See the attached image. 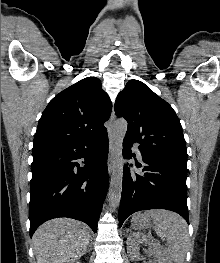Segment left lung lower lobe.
<instances>
[{"instance_id": "0a47b994", "label": "left lung lower lobe", "mask_w": 220, "mask_h": 263, "mask_svg": "<svg viewBox=\"0 0 220 263\" xmlns=\"http://www.w3.org/2000/svg\"><path fill=\"white\" fill-rule=\"evenodd\" d=\"M133 141L124 138L123 155L132 157ZM142 173L127 166L123 171V187L119 208V226L125 219L140 210L166 209L180 214L189 223L187 207V169L159 156L151 155L141 147ZM132 166V164H130ZM137 168L142 165L135 163Z\"/></svg>"}]
</instances>
